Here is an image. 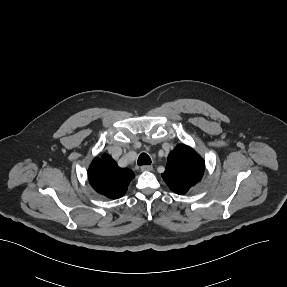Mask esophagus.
I'll list each match as a JSON object with an SVG mask.
<instances>
[{
	"mask_svg": "<svg viewBox=\"0 0 287 287\" xmlns=\"http://www.w3.org/2000/svg\"><path fill=\"white\" fill-rule=\"evenodd\" d=\"M153 167L151 165H143L141 166V171H152Z\"/></svg>",
	"mask_w": 287,
	"mask_h": 287,
	"instance_id": "34e87169",
	"label": "esophagus"
}]
</instances>
